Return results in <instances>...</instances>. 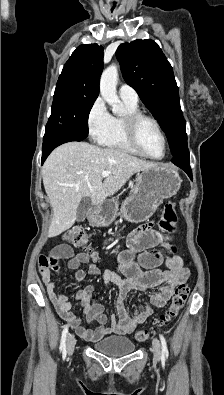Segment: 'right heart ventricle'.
Listing matches in <instances>:
<instances>
[{
  "instance_id": "obj_1",
  "label": "right heart ventricle",
  "mask_w": 224,
  "mask_h": 395,
  "mask_svg": "<svg viewBox=\"0 0 224 395\" xmlns=\"http://www.w3.org/2000/svg\"><path fill=\"white\" fill-rule=\"evenodd\" d=\"M125 113L123 115L110 116V122L107 131L98 140L105 147L120 150L129 154L143 156L135 150L129 143L124 130V116L128 113L139 112L137 103H131L123 100Z\"/></svg>"
}]
</instances>
